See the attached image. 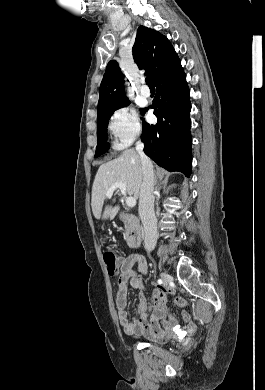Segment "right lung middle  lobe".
I'll list each match as a JSON object with an SVG mask.
<instances>
[{
    "label": "right lung middle lobe",
    "instance_id": "dd1d6c3e",
    "mask_svg": "<svg viewBox=\"0 0 265 390\" xmlns=\"http://www.w3.org/2000/svg\"><path fill=\"white\" fill-rule=\"evenodd\" d=\"M129 104H130V102L126 101L123 104L117 106L116 108L110 109L97 117L98 144L96 147L95 157H98V156L104 154L109 149V145L106 142V140H107V130L106 129L108 127V122H109L110 116L113 114V112L115 110L122 108L124 106H128ZM142 112H144V109L142 110Z\"/></svg>",
    "mask_w": 265,
    "mask_h": 390
}]
</instances>
